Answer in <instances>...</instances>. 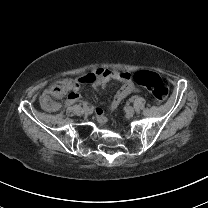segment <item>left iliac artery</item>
Returning a JSON list of instances; mask_svg holds the SVG:
<instances>
[{"mask_svg":"<svg viewBox=\"0 0 208 208\" xmlns=\"http://www.w3.org/2000/svg\"><path fill=\"white\" fill-rule=\"evenodd\" d=\"M129 101H130V102H133V101H134V99H133V98H130V99H129Z\"/></svg>","mask_w":208,"mask_h":208,"instance_id":"1","label":"left iliac artery"}]
</instances>
